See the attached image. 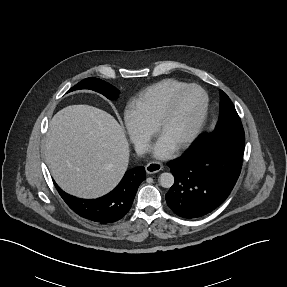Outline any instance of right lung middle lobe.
Wrapping results in <instances>:
<instances>
[{
    "instance_id": "1",
    "label": "right lung middle lobe",
    "mask_w": 287,
    "mask_h": 287,
    "mask_svg": "<svg viewBox=\"0 0 287 287\" xmlns=\"http://www.w3.org/2000/svg\"><path fill=\"white\" fill-rule=\"evenodd\" d=\"M76 89H91L96 92L103 94L110 100H115L118 98L120 92L117 88L112 86L111 84L97 79V78H87L79 82L73 88H71L68 92L76 90Z\"/></svg>"
}]
</instances>
